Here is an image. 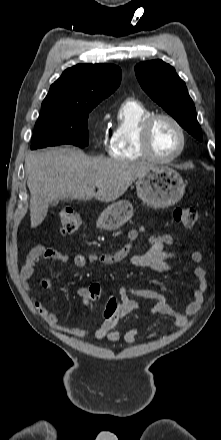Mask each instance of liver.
<instances>
[{"mask_svg": "<svg viewBox=\"0 0 221 440\" xmlns=\"http://www.w3.org/2000/svg\"><path fill=\"white\" fill-rule=\"evenodd\" d=\"M153 166L146 162L91 158L71 147L30 153L25 158V169L31 194V227L43 222L52 201H114Z\"/></svg>", "mask_w": 221, "mask_h": 440, "instance_id": "liver-1", "label": "liver"}]
</instances>
